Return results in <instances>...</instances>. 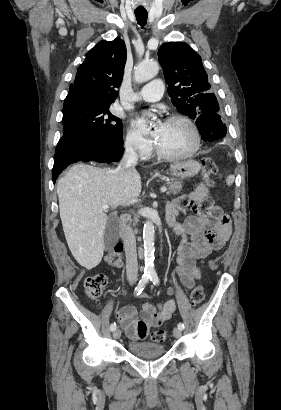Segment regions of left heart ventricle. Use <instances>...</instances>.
Returning <instances> with one entry per match:
<instances>
[{
	"mask_svg": "<svg viewBox=\"0 0 281 410\" xmlns=\"http://www.w3.org/2000/svg\"><path fill=\"white\" fill-rule=\"evenodd\" d=\"M156 142L165 152L184 153L193 147L194 134L184 122L166 121Z\"/></svg>",
	"mask_w": 281,
	"mask_h": 410,
	"instance_id": "left-heart-ventricle-1",
	"label": "left heart ventricle"
}]
</instances>
